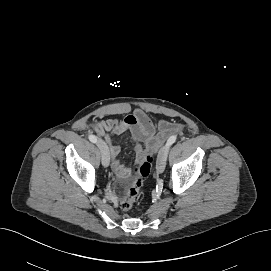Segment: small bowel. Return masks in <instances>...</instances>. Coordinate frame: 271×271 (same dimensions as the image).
Wrapping results in <instances>:
<instances>
[{"mask_svg": "<svg viewBox=\"0 0 271 271\" xmlns=\"http://www.w3.org/2000/svg\"><path fill=\"white\" fill-rule=\"evenodd\" d=\"M93 128L105 139L112 160V170L116 177L125 181L130 177L132 170L120 162L118 157L120 147L112 142L111 135L129 133L135 144L136 160L141 162L147 156H152L167 136L180 131L182 126L160 121L156 127L146 113L137 109L121 120H103L96 123ZM157 129L158 133H156Z\"/></svg>", "mask_w": 271, "mask_h": 271, "instance_id": "small-bowel-1", "label": "small bowel"}]
</instances>
